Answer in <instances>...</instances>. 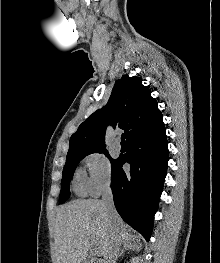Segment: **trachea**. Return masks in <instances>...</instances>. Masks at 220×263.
Segmentation results:
<instances>
[{
    "label": "trachea",
    "instance_id": "3493384b",
    "mask_svg": "<svg viewBox=\"0 0 220 263\" xmlns=\"http://www.w3.org/2000/svg\"><path fill=\"white\" fill-rule=\"evenodd\" d=\"M121 142L124 143L125 142V134L121 135Z\"/></svg>",
    "mask_w": 220,
    "mask_h": 263
}]
</instances>
